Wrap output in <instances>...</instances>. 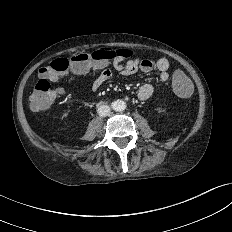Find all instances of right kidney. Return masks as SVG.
Returning a JSON list of instances; mask_svg holds the SVG:
<instances>
[{
	"instance_id": "ca27d5eb",
	"label": "right kidney",
	"mask_w": 232,
	"mask_h": 232,
	"mask_svg": "<svg viewBox=\"0 0 232 232\" xmlns=\"http://www.w3.org/2000/svg\"><path fill=\"white\" fill-rule=\"evenodd\" d=\"M67 116H68V114H67V113H64V114H63V117H67Z\"/></svg>"
}]
</instances>
